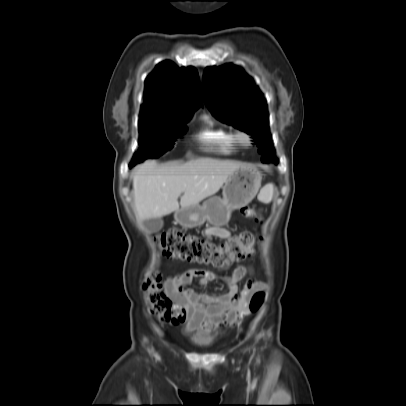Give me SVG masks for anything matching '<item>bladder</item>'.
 I'll list each match as a JSON object with an SVG mask.
<instances>
[{
	"label": "bladder",
	"instance_id": "obj_1",
	"mask_svg": "<svg viewBox=\"0 0 406 406\" xmlns=\"http://www.w3.org/2000/svg\"><path fill=\"white\" fill-rule=\"evenodd\" d=\"M191 342L199 348H206L212 344L211 339L209 337H204L200 335H194L191 339Z\"/></svg>",
	"mask_w": 406,
	"mask_h": 406
}]
</instances>
